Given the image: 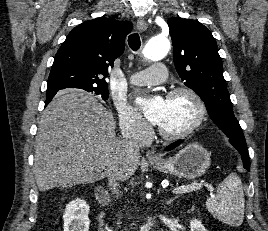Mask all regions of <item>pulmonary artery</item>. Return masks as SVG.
Segmentation results:
<instances>
[{
  "label": "pulmonary artery",
  "instance_id": "e3ab8cb5",
  "mask_svg": "<svg viewBox=\"0 0 268 231\" xmlns=\"http://www.w3.org/2000/svg\"><path fill=\"white\" fill-rule=\"evenodd\" d=\"M167 70L165 65H156L145 70L137 72L130 78V81L134 85H154L161 83Z\"/></svg>",
  "mask_w": 268,
  "mask_h": 231
}]
</instances>
